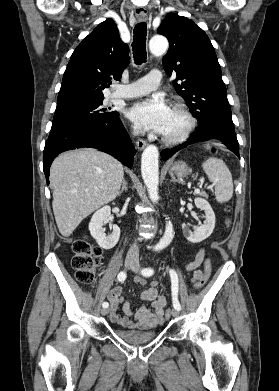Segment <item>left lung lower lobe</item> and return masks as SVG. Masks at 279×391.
Here are the masks:
<instances>
[{
  "mask_svg": "<svg viewBox=\"0 0 279 391\" xmlns=\"http://www.w3.org/2000/svg\"><path fill=\"white\" fill-rule=\"evenodd\" d=\"M209 139H219L225 144L233 153L239 156V144L236 138L234 128L228 127L219 123H207L190 135V138L183 144L172 149H165L161 152L163 160L168 159L178 150L201 141Z\"/></svg>",
  "mask_w": 279,
  "mask_h": 391,
  "instance_id": "obj_1",
  "label": "left lung lower lobe"
}]
</instances>
